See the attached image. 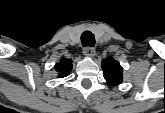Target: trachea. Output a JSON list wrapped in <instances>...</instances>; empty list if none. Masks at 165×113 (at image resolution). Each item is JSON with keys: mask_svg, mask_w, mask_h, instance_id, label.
<instances>
[{"mask_svg": "<svg viewBox=\"0 0 165 113\" xmlns=\"http://www.w3.org/2000/svg\"><path fill=\"white\" fill-rule=\"evenodd\" d=\"M81 43L83 46L93 47L95 45L94 34L90 31H84L81 35Z\"/></svg>", "mask_w": 165, "mask_h": 113, "instance_id": "obj_1", "label": "trachea"}]
</instances>
